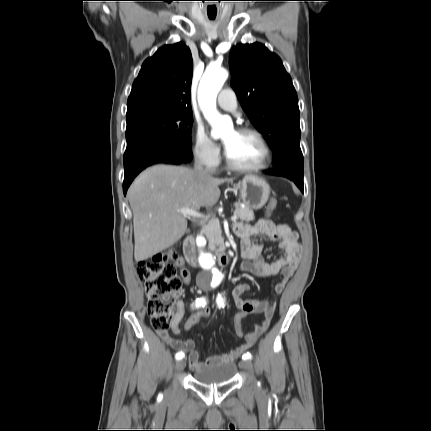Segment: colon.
<instances>
[{
	"label": "colon",
	"instance_id": "obj_1",
	"mask_svg": "<svg viewBox=\"0 0 431 431\" xmlns=\"http://www.w3.org/2000/svg\"><path fill=\"white\" fill-rule=\"evenodd\" d=\"M275 207L276 201L269 200L266 206L267 212L270 213ZM175 258L174 253L165 252L156 254L150 259L139 261L137 264V274L144 284L148 297L147 312L152 326L157 330H165L169 327L174 313V305L182 295V281L172 262ZM210 316L211 308L208 303H203V306H200L196 313H189L183 331L189 334L199 324H204ZM246 316L245 310H238L234 314V333L238 338L245 335L244 330L241 329V322Z\"/></svg>",
	"mask_w": 431,
	"mask_h": 431
}]
</instances>
